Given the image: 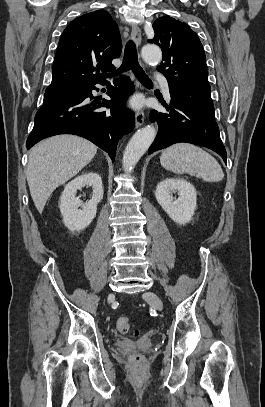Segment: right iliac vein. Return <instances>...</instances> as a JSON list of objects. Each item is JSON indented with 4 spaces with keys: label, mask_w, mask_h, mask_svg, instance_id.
I'll return each mask as SVG.
<instances>
[{
    "label": "right iliac vein",
    "mask_w": 265,
    "mask_h": 407,
    "mask_svg": "<svg viewBox=\"0 0 265 407\" xmlns=\"http://www.w3.org/2000/svg\"><path fill=\"white\" fill-rule=\"evenodd\" d=\"M107 300H108V302L110 303L111 301H113L114 300V294H109L108 295V297H107Z\"/></svg>",
    "instance_id": "right-iliac-vein-1"
}]
</instances>
